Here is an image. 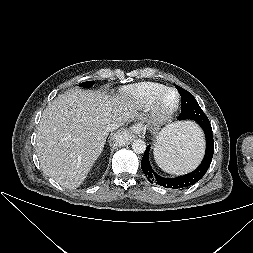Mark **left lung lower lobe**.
Listing matches in <instances>:
<instances>
[{
  "instance_id": "0a47b994",
  "label": "left lung lower lobe",
  "mask_w": 253,
  "mask_h": 253,
  "mask_svg": "<svg viewBox=\"0 0 253 253\" xmlns=\"http://www.w3.org/2000/svg\"><path fill=\"white\" fill-rule=\"evenodd\" d=\"M194 121H196L201 126V128L203 129L205 133V138H206V152H205L203 161L201 162L199 167L195 169L193 172L180 176V177H176V178L161 177L156 172H154V170L152 169L150 165V161H149L150 146H147L146 151L142 157L141 168L150 183H156L166 188L179 189V188H185V187L195 184L205 175V173L207 172L211 164V160L214 153V141H213V135H212V128L207 116L204 113L201 115L198 114V116L196 117V120Z\"/></svg>"
}]
</instances>
